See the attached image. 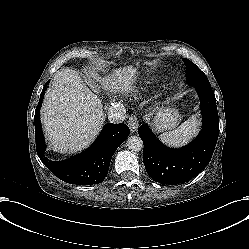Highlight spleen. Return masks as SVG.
Returning <instances> with one entry per match:
<instances>
[{"label": "spleen", "instance_id": "3e777b00", "mask_svg": "<svg viewBox=\"0 0 249 249\" xmlns=\"http://www.w3.org/2000/svg\"><path fill=\"white\" fill-rule=\"evenodd\" d=\"M200 121L194 114L182 123L177 129L163 133L160 140L171 147H181L186 145L199 132Z\"/></svg>", "mask_w": 249, "mask_h": 249}]
</instances>
